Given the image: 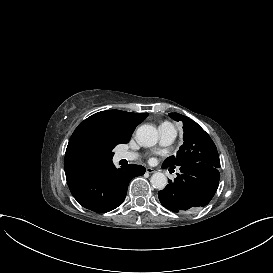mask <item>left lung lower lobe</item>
I'll return each instance as SVG.
<instances>
[{
  "label": "left lung lower lobe",
  "instance_id": "0a47b994",
  "mask_svg": "<svg viewBox=\"0 0 273 273\" xmlns=\"http://www.w3.org/2000/svg\"><path fill=\"white\" fill-rule=\"evenodd\" d=\"M163 167L175 168L165 164ZM180 171L174 182L169 180V184L158 192L161 204L173 212L206 206L218 188V168L205 163H192L180 166Z\"/></svg>",
  "mask_w": 273,
  "mask_h": 273
}]
</instances>
